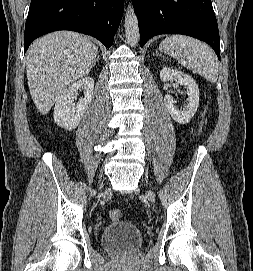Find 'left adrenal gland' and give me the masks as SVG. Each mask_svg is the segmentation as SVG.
Instances as JSON below:
<instances>
[{
  "label": "left adrenal gland",
  "mask_w": 253,
  "mask_h": 271,
  "mask_svg": "<svg viewBox=\"0 0 253 271\" xmlns=\"http://www.w3.org/2000/svg\"><path fill=\"white\" fill-rule=\"evenodd\" d=\"M156 56H161L160 54H159V52H158V50H156V54H155Z\"/></svg>",
  "instance_id": "1"
}]
</instances>
